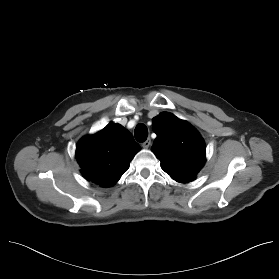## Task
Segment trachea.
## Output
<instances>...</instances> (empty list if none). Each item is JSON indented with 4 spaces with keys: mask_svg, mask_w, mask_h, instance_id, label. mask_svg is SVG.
Listing matches in <instances>:
<instances>
[{
    "mask_svg": "<svg viewBox=\"0 0 279 279\" xmlns=\"http://www.w3.org/2000/svg\"><path fill=\"white\" fill-rule=\"evenodd\" d=\"M134 134L138 142H145L148 137V129L144 124H138L135 128Z\"/></svg>",
    "mask_w": 279,
    "mask_h": 279,
    "instance_id": "obj_1",
    "label": "trachea"
}]
</instances>
